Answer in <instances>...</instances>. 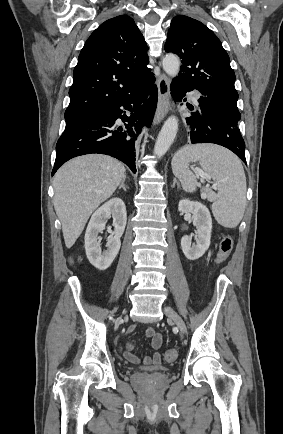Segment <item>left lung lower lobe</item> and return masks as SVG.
<instances>
[{
	"label": "left lung lower lobe",
	"instance_id": "obj_1",
	"mask_svg": "<svg viewBox=\"0 0 283 434\" xmlns=\"http://www.w3.org/2000/svg\"><path fill=\"white\" fill-rule=\"evenodd\" d=\"M170 89L171 95L177 100L194 90L175 79L172 80ZM198 102L197 109L189 107L193 111L186 118L191 143H214L224 146L246 162L245 143L238 128L241 118L238 108L203 95H200Z\"/></svg>",
	"mask_w": 283,
	"mask_h": 434
}]
</instances>
